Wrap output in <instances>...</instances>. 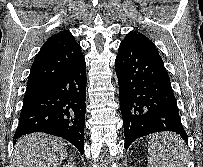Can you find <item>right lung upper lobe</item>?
<instances>
[{
  "mask_svg": "<svg viewBox=\"0 0 203 167\" xmlns=\"http://www.w3.org/2000/svg\"><path fill=\"white\" fill-rule=\"evenodd\" d=\"M82 57L80 45L69 31L52 35L44 43L31 66L25 94L49 86L74 67Z\"/></svg>",
  "mask_w": 203,
  "mask_h": 167,
  "instance_id": "1",
  "label": "right lung upper lobe"
}]
</instances>
